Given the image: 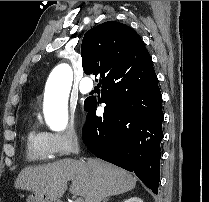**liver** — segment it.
I'll use <instances>...</instances> for the list:
<instances>
[{
  "label": "liver",
  "instance_id": "6515ba94",
  "mask_svg": "<svg viewBox=\"0 0 209 202\" xmlns=\"http://www.w3.org/2000/svg\"><path fill=\"white\" fill-rule=\"evenodd\" d=\"M72 181L70 192L84 202H101L112 195L131 191L136 178L131 173L99 159H62L46 165L21 170L15 188L59 199Z\"/></svg>",
  "mask_w": 209,
  "mask_h": 202
}]
</instances>
